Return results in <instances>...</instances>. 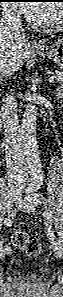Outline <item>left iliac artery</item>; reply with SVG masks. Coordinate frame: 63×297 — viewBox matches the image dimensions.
Masks as SVG:
<instances>
[{"instance_id": "obj_1", "label": "left iliac artery", "mask_w": 63, "mask_h": 297, "mask_svg": "<svg viewBox=\"0 0 63 297\" xmlns=\"http://www.w3.org/2000/svg\"><path fill=\"white\" fill-rule=\"evenodd\" d=\"M26 193H28L26 199L31 203V204H45L46 205V200L45 198L39 194V193H36V190L35 189H31V190H28ZM45 215L48 219V221H52V215H51V212L47 209L45 211ZM48 235H49V239L54 242V234H53V231L51 230V227L48 229Z\"/></svg>"}]
</instances>
